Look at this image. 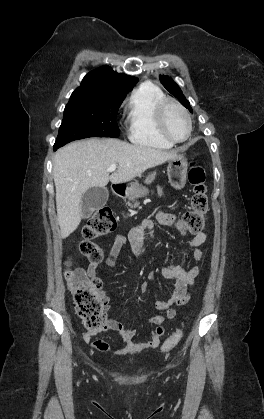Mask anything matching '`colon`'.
Wrapping results in <instances>:
<instances>
[{"mask_svg":"<svg viewBox=\"0 0 264 419\" xmlns=\"http://www.w3.org/2000/svg\"><path fill=\"white\" fill-rule=\"evenodd\" d=\"M188 179L193 187L190 210L183 214L178 221L182 232L198 233L203 229L204 217L208 209L206 196V173L195 162L191 164ZM116 228V220L107 208L98 210L87 222L82 230L84 240L80 244L81 253L92 263H99L102 259L100 248L92 239L108 234ZM67 286L73 295L78 316L82 319L87 331L94 332L104 324L103 312L106 302L99 294L94 282L82 270L68 269L65 272ZM183 330H175L163 343L161 351L167 353L181 340Z\"/></svg>","mask_w":264,"mask_h":419,"instance_id":"obj_1","label":"colon"}]
</instances>
